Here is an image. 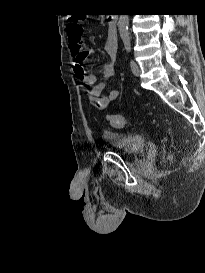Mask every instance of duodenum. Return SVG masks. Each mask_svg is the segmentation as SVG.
<instances>
[{"label":"duodenum","instance_id":"duodenum-1","mask_svg":"<svg viewBox=\"0 0 205 273\" xmlns=\"http://www.w3.org/2000/svg\"><path fill=\"white\" fill-rule=\"evenodd\" d=\"M117 15L116 14H112L110 16H108V26L110 27L111 31H112V38L114 40H116V24H117Z\"/></svg>","mask_w":205,"mask_h":273}]
</instances>
